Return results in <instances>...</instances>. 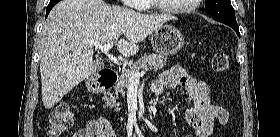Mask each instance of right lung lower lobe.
<instances>
[{
	"instance_id": "98d812e1",
	"label": "right lung lower lobe",
	"mask_w": 280,
	"mask_h": 137,
	"mask_svg": "<svg viewBox=\"0 0 280 137\" xmlns=\"http://www.w3.org/2000/svg\"><path fill=\"white\" fill-rule=\"evenodd\" d=\"M60 0H51L50 3L47 6V10H46V17L48 16L49 12L51 11V9L59 2Z\"/></svg>"
}]
</instances>
